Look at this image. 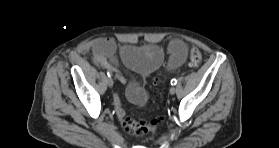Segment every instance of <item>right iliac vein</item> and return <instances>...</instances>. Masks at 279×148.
<instances>
[{
	"mask_svg": "<svg viewBox=\"0 0 279 148\" xmlns=\"http://www.w3.org/2000/svg\"><path fill=\"white\" fill-rule=\"evenodd\" d=\"M107 84H108L109 87H113L114 82H113V79L111 77L107 78Z\"/></svg>",
	"mask_w": 279,
	"mask_h": 148,
	"instance_id": "obj_1",
	"label": "right iliac vein"
}]
</instances>
